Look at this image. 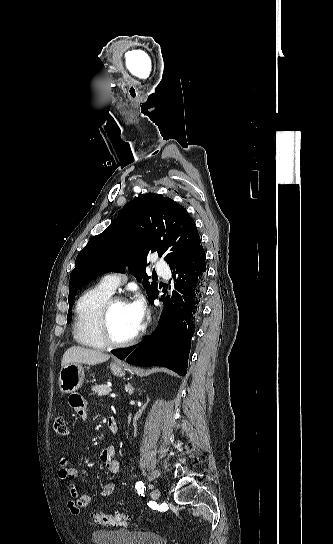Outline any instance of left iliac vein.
<instances>
[{
    "label": "left iliac vein",
    "instance_id": "obj_1",
    "mask_svg": "<svg viewBox=\"0 0 333 544\" xmlns=\"http://www.w3.org/2000/svg\"><path fill=\"white\" fill-rule=\"evenodd\" d=\"M150 495L153 500H157L160 497V491L158 489H154L151 491Z\"/></svg>",
    "mask_w": 333,
    "mask_h": 544
}]
</instances>
